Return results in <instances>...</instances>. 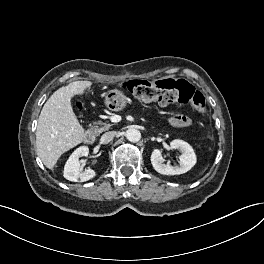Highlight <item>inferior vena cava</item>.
Here are the masks:
<instances>
[{
	"label": "inferior vena cava",
	"mask_w": 264,
	"mask_h": 264,
	"mask_svg": "<svg viewBox=\"0 0 264 264\" xmlns=\"http://www.w3.org/2000/svg\"><path fill=\"white\" fill-rule=\"evenodd\" d=\"M116 136V132L115 131H110V132H106L105 134H103L100 138V142L102 144H108L109 142H111L113 140V138Z\"/></svg>",
	"instance_id": "602c4592"
}]
</instances>
